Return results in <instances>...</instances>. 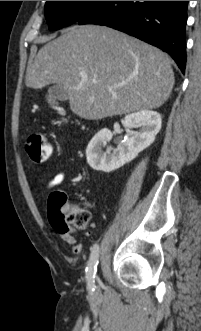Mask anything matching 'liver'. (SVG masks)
Returning <instances> with one entry per match:
<instances>
[{
	"label": "liver",
	"instance_id": "6515ba94",
	"mask_svg": "<svg viewBox=\"0 0 201 331\" xmlns=\"http://www.w3.org/2000/svg\"><path fill=\"white\" fill-rule=\"evenodd\" d=\"M81 74L88 79L82 81ZM123 81L127 84L109 88ZM174 81L167 54L95 25L68 28L45 44L26 76L29 88L63 85L71 111L92 120L159 108L169 98Z\"/></svg>",
	"mask_w": 201,
	"mask_h": 331
}]
</instances>
